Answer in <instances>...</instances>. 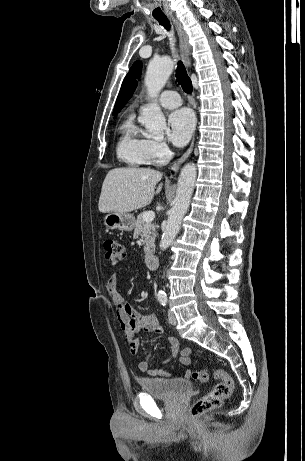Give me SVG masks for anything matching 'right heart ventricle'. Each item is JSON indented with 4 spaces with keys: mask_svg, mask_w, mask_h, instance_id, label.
Segmentation results:
<instances>
[{
    "mask_svg": "<svg viewBox=\"0 0 305 461\" xmlns=\"http://www.w3.org/2000/svg\"><path fill=\"white\" fill-rule=\"evenodd\" d=\"M117 144L118 157L130 166H143L154 162L152 140L135 124L133 116L122 123Z\"/></svg>",
    "mask_w": 305,
    "mask_h": 461,
    "instance_id": "obj_1",
    "label": "right heart ventricle"
}]
</instances>
